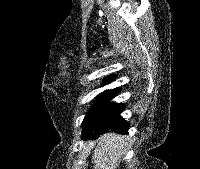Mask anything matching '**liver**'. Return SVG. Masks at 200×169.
<instances>
[{"mask_svg":"<svg viewBox=\"0 0 200 169\" xmlns=\"http://www.w3.org/2000/svg\"><path fill=\"white\" fill-rule=\"evenodd\" d=\"M92 163L94 169H117L125 154L126 137L115 133L102 135L98 141H90L94 147Z\"/></svg>","mask_w":200,"mask_h":169,"instance_id":"obj_1","label":"liver"}]
</instances>
